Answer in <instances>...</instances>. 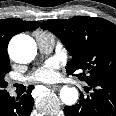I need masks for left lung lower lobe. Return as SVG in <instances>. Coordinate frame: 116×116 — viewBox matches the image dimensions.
Instances as JSON below:
<instances>
[{"instance_id":"1","label":"left lung lower lobe","mask_w":116,"mask_h":116,"mask_svg":"<svg viewBox=\"0 0 116 116\" xmlns=\"http://www.w3.org/2000/svg\"><path fill=\"white\" fill-rule=\"evenodd\" d=\"M92 93L87 97L80 94L76 105L66 106V116H116V79L88 83Z\"/></svg>"}]
</instances>
